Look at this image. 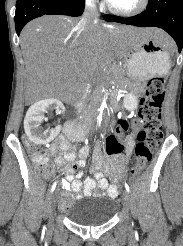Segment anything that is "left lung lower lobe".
Instances as JSON below:
<instances>
[{
	"label": "left lung lower lobe",
	"instance_id": "obj_1",
	"mask_svg": "<svg viewBox=\"0 0 183 246\" xmlns=\"http://www.w3.org/2000/svg\"><path fill=\"white\" fill-rule=\"evenodd\" d=\"M104 19L139 27L162 28L174 38L179 52L183 48V0H149L142 14L128 18L105 15Z\"/></svg>",
	"mask_w": 183,
	"mask_h": 246
}]
</instances>
